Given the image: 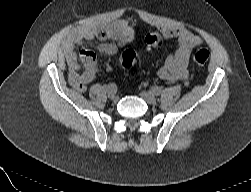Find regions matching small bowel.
<instances>
[{
  "label": "small bowel",
  "mask_w": 251,
  "mask_h": 192,
  "mask_svg": "<svg viewBox=\"0 0 251 192\" xmlns=\"http://www.w3.org/2000/svg\"><path fill=\"white\" fill-rule=\"evenodd\" d=\"M163 36L167 39L176 38L177 48L169 55L157 75L167 82L182 81L188 83V65L192 50L202 44V39L184 27H163ZM132 23L128 20L118 21L111 25L100 26L94 29L78 30L66 38L63 50L69 66V82L79 92H84L87 85L93 81L97 72L96 55L91 50H83L80 54L84 70L80 71V64L74 52L76 45L84 41L99 39L102 41L98 50L107 55H114L132 39Z\"/></svg>",
  "instance_id": "obj_1"
}]
</instances>
